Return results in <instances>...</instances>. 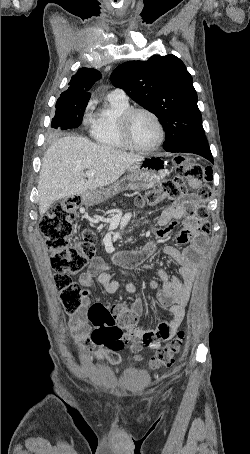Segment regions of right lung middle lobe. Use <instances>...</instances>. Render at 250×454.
<instances>
[{
  "label": "right lung middle lobe",
  "instance_id": "right-lung-middle-lobe-1",
  "mask_svg": "<svg viewBox=\"0 0 250 454\" xmlns=\"http://www.w3.org/2000/svg\"><path fill=\"white\" fill-rule=\"evenodd\" d=\"M87 103L56 102V112L55 117L52 119L51 127L55 129L61 128L63 130L77 128L82 122Z\"/></svg>",
  "mask_w": 250,
  "mask_h": 454
}]
</instances>
